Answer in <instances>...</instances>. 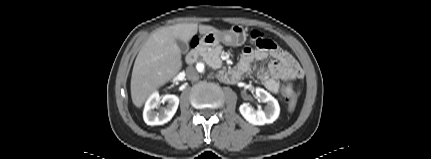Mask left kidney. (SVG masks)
Here are the masks:
<instances>
[{"mask_svg": "<svg viewBox=\"0 0 431 159\" xmlns=\"http://www.w3.org/2000/svg\"><path fill=\"white\" fill-rule=\"evenodd\" d=\"M256 98L263 103H267L265 109L255 110L248 103H243L239 107L241 115L253 125L273 123L280 113L278 101L262 88H256Z\"/></svg>", "mask_w": 431, "mask_h": 159, "instance_id": "left-kidney-1", "label": "left kidney"}]
</instances>
